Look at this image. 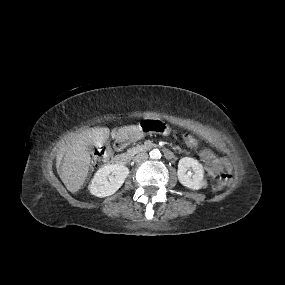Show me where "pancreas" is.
I'll return each instance as SVG.
<instances>
[{"instance_id":"obj_1","label":"pancreas","mask_w":285,"mask_h":285,"mask_svg":"<svg viewBox=\"0 0 285 285\" xmlns=\"http://www.w3.org/2000/svg\"><path fill=\"white\" fill-rule=\"evenodd\" d=\"M146 149V146H144V145H137L136 146V150H138V151H142V150H145Z\"/></svg>"}]
</instances>
